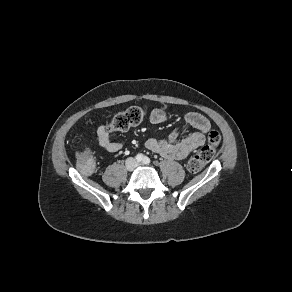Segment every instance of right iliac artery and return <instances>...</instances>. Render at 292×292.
<instances>
[{
	"mask_svg": "<svg viewBox=\"0 0 292 292\" xmlns=\"http://www.w3.org/2000/svg\"><path fill=\"white\" fill-rule=\"evenodd\" d=\"M136 160H137L138 162H141V161L143 160V155H142V154H138V155L136 156Z\"/></svg>",
	"mask_w": 292,
	"mask_h": 292,
	"instance_id": "82829eb1",
	"label": "right iliac artery"
}]
</instances>
